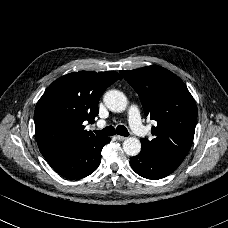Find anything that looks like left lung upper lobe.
Returning <instances> with one entry per match:
<instances>
[{
    "mask_svg": "<svg viewBox=\"0 0 228 228\" xmlns=\"http://www.w3.org/2000/svg\"><path fill=\"white\" fill-rule=\"evenodd\" d=\"M120 72L140 96L145 114L157 121L151 131L154 138H142V147L153 154L184 159L197 122V107L184 82L156 65Z\"/></svg>",
    "mask_w": 228,
    "mask_h": 228,
    "instance_id": "1",
    "label": "left lung upper lobe"
}]
</instances>
